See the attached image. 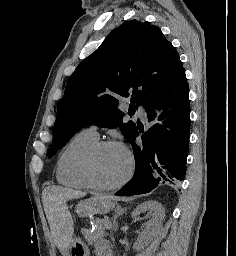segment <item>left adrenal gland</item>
Listing matches in <instances>:
<instances>
[{
    "label": "left adrenal gland",
    "mask_w": 236,
    "mask_h": 256,
    "mask_svg": "<svg viewBox=\"0 0 236 256\" xmlns=\"http://www.w3.org/2000/svg\"><path fill=\"white\" fill-rule=\"evenodd\" d=\"M124 212H125L124 208H121V206H117V208L115 210V214L112 218L114 230H116V228H118L117 218H119V216H122V214H124Z\"/></svg>",
    "instance_id": "left-adrenal-gland-1"
}]
</instances>
